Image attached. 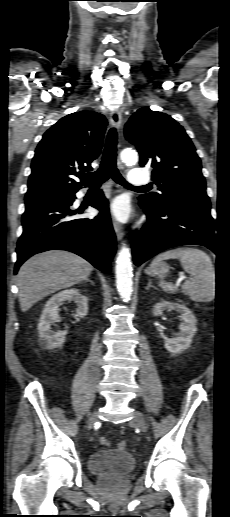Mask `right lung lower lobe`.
<instances>
[{"label":"right lung lower lobe","instance_id":"1","mask_svg":"<svg viewBox=\"0 0 230 517\" xmlns=\"http://www.w3.org/2000/svg\"><path fill=\"white\" fill-rule=\"evenodd\" d=\"M75 193L25 203L23 233L16 249L15 274L32 255L53 249L74 252L99 270L110 272L116 237L108 201L100 191L90 204L100 210L99 215L94 219L76 218L74 215L77 212L70 209L76 199Z\"/></svg>","mask_w":230,"mask_h":517}]
</instances>
